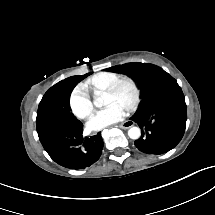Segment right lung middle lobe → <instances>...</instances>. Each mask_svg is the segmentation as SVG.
Segmentation results:
<instances>
[{
    "label": "right lung middle lobe",
    "instance_id": "dd1d6c3e",
    "mask_svg": "<svg viewBox=\"0 0 215 215\" xmlns=\"http://www.w3.org/2000/svg\"><path fill=\"white\" fill-rule=\"evenodd\" d=\"M83 76H73L51 87L43 96L37 111V129L46 126H81L82 123L73 115L70 108V94Z\"/></svg>",
    "mask_w": 215,
    "mask_h": 215
}]
</instances>
